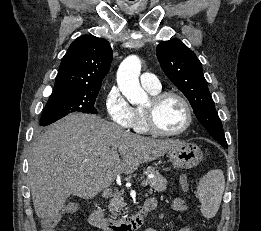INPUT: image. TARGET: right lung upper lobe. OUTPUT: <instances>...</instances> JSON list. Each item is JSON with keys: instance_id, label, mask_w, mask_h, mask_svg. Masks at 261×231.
Instances as JSON below:
<instances>
[{"instance_id": "obj_1", "label": "right lung upper lobe", "mask_w": 261, "mask_h": 231, "mask_svg": "<svg viewBox=\"0 0 261 231\" xmlns=\"http://www.w3.org/2000/svg\"><path fill=\"white\" fill-rule=\"evenodd\" d=\"M111 61L108 41L92 35L78 37L62 58L54 90L100 89Z\"/></svg>"}]
</instances>
